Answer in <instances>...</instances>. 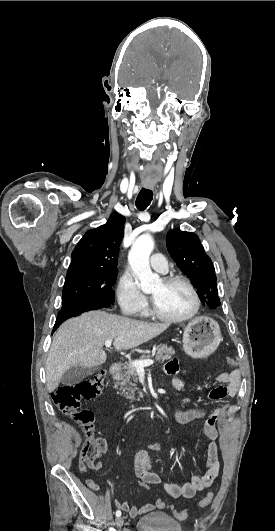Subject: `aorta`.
Here are the masks:
<instances>
[{
  "instance_id": "1",
  "label": "aorta",
  "mask_w": 275,
  "mask_h": 531,
  "mask_svg": "<svg viewBox=\"0 0 275 531\" xmlns=\"http://www.w3.org/2000/svg\"><path fill=\"white\" fill-rule=\"evenodd\" d=\"M154 249V239L149 233L140 235L137 241L133 243L128 255V263L135 275L140 281L139 285L142 291H153L157 287H162L159 275H154L150 269L149 257Z\"/></svg>"
}]
</instances>
